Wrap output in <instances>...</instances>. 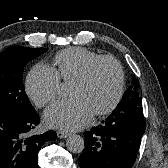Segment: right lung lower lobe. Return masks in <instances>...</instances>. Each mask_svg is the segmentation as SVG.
Returning <instances> with one entry per match:
<instances>
[{
	"label": "right lung lower lobe",
	"instance_id": "right-lung-lower-lobe-1",
	"mask_svg": "<svg viewBox=\"0 0 168 168\" xmlns=\"http://www.w3.org/2000/svg\"><path fill=\"white\" fill-rule=\"evenodd\" d=\"M38 123L36 111L26 114L0 110V168H38L41 146L57 136L52 130L31 135Z\"/></svg>",
	"mask_w": 168,
	"mask_h": 168
}]
</instances>
